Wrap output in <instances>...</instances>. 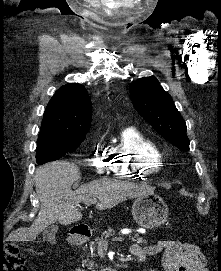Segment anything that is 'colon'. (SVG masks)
<instances>
[{
  "label": "colon",
  "mask_w": 221,
  "mask_h": 271,
  "mask_svg": "<svg viewBox=\"0 0 221 271\" xmlns=\"http://www.w3.org/2000/svg\"><path fill=\"white\" fill-rule=\"evenodd\" d=\"M0 271H27L24 265V255L19 250L17 243L7 246L6 253L0 258Z\"/></svg>",
  "instance_id": "obj_1"
}]
</instances>
